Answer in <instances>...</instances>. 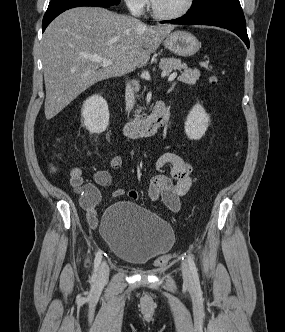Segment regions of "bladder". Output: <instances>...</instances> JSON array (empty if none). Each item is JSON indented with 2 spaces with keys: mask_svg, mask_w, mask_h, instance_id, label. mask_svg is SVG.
I'll use <instances>...</instances> for the list:
<instances>
[{
  "mask_svg": "<svg viewBox=\"0 0 285 332\" xmlns=\"http://www.w3.org/2000/svg\"><path fill=\"white\" fill-rule=\"evenodd\" d=\"M100 232L116 258L135 265L167 252L174 243V232L166 221L130 201L106 208Z\"/></svg>",
  "mask_w": 285,
  "mask_h": 332,
  "instance_id": "obj_1",
  "label": "bladder"
}]
</instances>
